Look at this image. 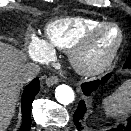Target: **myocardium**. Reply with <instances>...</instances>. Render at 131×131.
Wrapping results in <instances>:
<instances>
[{
  "mask_svg": "<svg viewBox=\"0 0 131 131\" xmlns=\"http://www.w3.org/2000/svg\"><path fill=\"white\" fill-rule=\"evenodd\" d=\"M114 27L119 32V39L112 51L99 62H88L84 59L87 50L94 39L105 29ZM124 43V32L114 22H103L86 32L69 50V61L72 67L81 75L95 76L105 72L115 62Z\"/></svg>",
  "mask_w": 131,
  "mask_h": 131,
  "instance_id": "f54148a6",
  "label": "myocardium"
}]
</instances>
